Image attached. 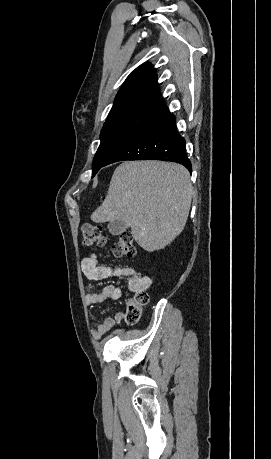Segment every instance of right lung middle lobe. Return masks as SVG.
I'll use <instances>...</instances> for the list:
<instances>
[{
	"instance_id": "dd1d6c3e",
	"label": "right lung middle lobe",
	"mask_w": 271,
	"mask_h": 459,
	"mask_svg": "<svg viewBox=\"0 0 271 459\" xmlns=\"http://www.w3.org/2000/svg\"><path fill=\"white\" fill-rule=\"evenodd\" d=\"M158 114L151 111L134 110L108 115L100 134V146L95 154L92 177L105 166L109 158L139 129Z\"/></svg>"
}]
</instances>
